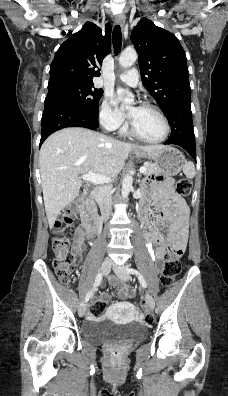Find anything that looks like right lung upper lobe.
<instances>
[{"mask_svg": "<svg viewBox=\"0 0 228 396\" xmlns=\"http://www.w3.org/2000/svg\"><path fill=\"white\" fill-rule=\"evenodd\" d=\"M111 25L101 28L86 22L82 29L66 40L55 54L50 66L48 86L64 82L93 84L100 75L102 60L111 48Z\"/></svg>", "mask_w": 228, "mask_h": 396, "instance_id": "obj_1", "label": "right lung upper lobe"}]
</instances>
